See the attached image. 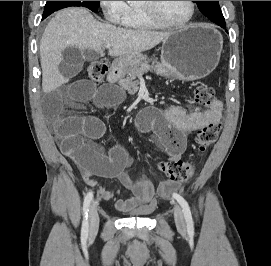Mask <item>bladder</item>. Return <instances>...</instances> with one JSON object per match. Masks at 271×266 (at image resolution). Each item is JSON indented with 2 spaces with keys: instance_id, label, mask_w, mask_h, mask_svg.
Wrapping results in <instances>:
<instances>
[{
  "instance_id": "obj_1",
  "label": "bladder",
  "mask_w": 271,
  "mask_h": 266,
  "mask_svg": "<svg viewBox=\"0 0 271 266\" xmlns=\"http://www.w3.org/2000/svg\"><path fill=\"white\" fill-rule=\"evenodd\" d=\"M148 215H149V212L146 209H140V210L133 211L132 213L128 215V217L143 218V217H147Z\"/></svg>"
}]
</instances>
